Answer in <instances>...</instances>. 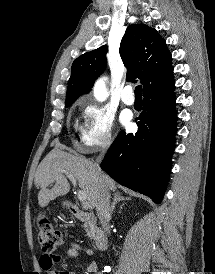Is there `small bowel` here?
<instances>
[{"instance_id": "obj_1", "label": "small bowel", "mask_w": 215, "mask_h": 274, "mask_svg": "<svg viewBox=\"0 0 215 274\" xmlns=\"http://www.w3.org/2000/svg\"><path fill=\"white\" fill-rule=\"evenodd\" d=\"M84 253L92 258L90 264L87 267V274H102L98 272V265L95 259V255L92 249L83 247L78 243L70 242L68 248L65 250V255L70 258H79ZM61 260V256L55 253H44L39 260L41 268L48 274H76L72 271H56L54 270L55 263Z\"/></svg>"}]
</instances>
